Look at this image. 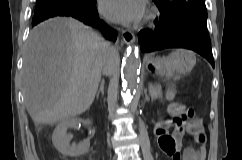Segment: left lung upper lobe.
Listing matches in <instances>:
<instances>
[{
  "mask_svg": "<svg viewBox=\"0 0 242 160\" xmlns=\"http://www.w3.org/2000/svg\"><path fill=\"white\" fill-rule=\"evenodd\" d=\"M161 15L178 22L191 19L207 20L205 0H153Z\"/></svg>",
  "mask_w": 242,
  "mask_h": 160,
  "instance_id": "obj_1",
  "label": "left lung upper lobe"
}]
</instances>
